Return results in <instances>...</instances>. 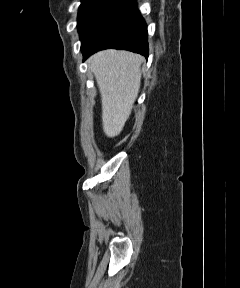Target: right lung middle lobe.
Here are the masks:
<instances>
[{"label": "right lung middle lobe", "mask_w": 240, "mask_h": 288, "mask_svg": "<svg viewBox=\"0 0 240 288\" xmlns=\"http://www.w3.org/2000/svg\"><path fill=\"white\" fill-rule=\"evenodd\" d=\"M122 0H82L78 12L81 46L85 45Z\"/></svg>", "instance_id": "obj_1"}]
</instances>
